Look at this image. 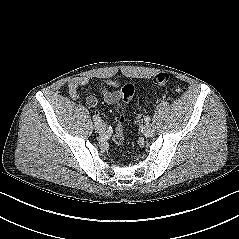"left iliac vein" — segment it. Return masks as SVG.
<instances>
[{
  "label": "left iliac vein",
  "instance_id": "obj_1",
  "mask_svg": "<svg viewBox=\"0 0 239 239\" xmlns=\"http://www.w3.org/2000/svg\"><path fill=\"white\" fill-rule=\"evenodd\" d=\"M154 133V127L151 124H146L144 127V135L146 137L152 136Z\"/></svg>",
  "mask_w": 239,
  "mask_h": 239
}]
</instances>
